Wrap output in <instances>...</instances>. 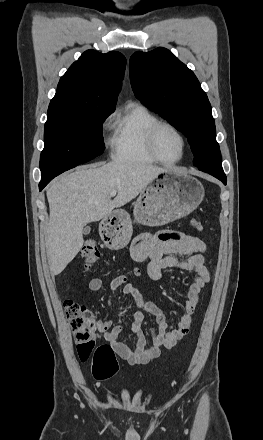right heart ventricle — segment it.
<instances>
[{"label":"right heart ventricle","instance_id":"1","mask_svg":"<svg viewBox=\"0 0 263 440\" xmlns=\"http://www.w3.org/2000/svg\"><path fill=\"white\" fill-rule=\"evenodd\" d=\"M158 118L145 106L130 104L113 125L111 156L118 162L155 163L146 146L148 129Z\"/></svg>","mask_w":263,"mask_h":440}]
</instances>
